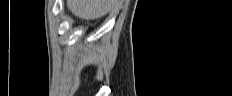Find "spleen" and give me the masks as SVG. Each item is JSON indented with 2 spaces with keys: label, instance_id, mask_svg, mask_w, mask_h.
Masks as SVG:
<instances>
[{
  "label": "spleen",
  "instance_id": "3e777b00",
  "mask_svg": "<svg viewBox=\"0 0 232 96\" xmlns=\"http://www.w3.org/2000/svg\"><path fill=\"white\" fill-rule=\"evenodd\" d=\"M113 6L112 0H68V9L77 17L93 20L107 14Z\"/></svg>",
  "mask_w": 232,
  "mask_h": 96
}]
</instances>
